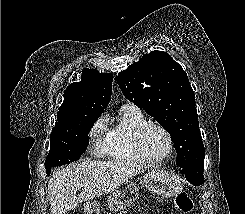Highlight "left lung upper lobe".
Returning a JSON list of instances; mask_svg holds the SVG:
<instances>
[{
    "instance_id": "obj_1",
    "label": "left lung upper lobe",
    "mask_w": 245,
    "mask_h": 214,
    "mask_svg": "<svg viewBox=\"0 0 245 214\" xmlns=\"http://www.w3.org/2000/svg\"><path fill=\"white\" fill-rule=\"evenodd\" d=\"M116 81L129 101L169 132L180 168L204 162L195 94L180 64L156 50L120 72Z\"/></svg>"
}]
</instances>
